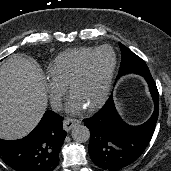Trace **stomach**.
Segmentation results:
<instances>
[{
  "instance_id": "1",
  "label": "stomach",
  "mask_w": 171,
  "mask_h": 171,
  "mask_svg": "<svg viewBox=\"0 0 171 171\" xmlns=\"http://www.w3.org/2000/svg\"><path fill=\"white\" fill-rule=\"evenodd\" d=\"M119 110H120V112H121L122 114L124 113V110H123V107H122L121 104H119Z\"/></svg>"
}]
</instances>
